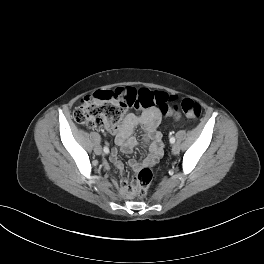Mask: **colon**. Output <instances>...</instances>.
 <instances>
[{
  "label": "colon",
  "instance_id": "colon-1",
  "mask_svg": "<svg viewBox=\"0 0 264 264\" xmlns=\"http://www.w3.org/2000/svg\"><path fill=\"white\" fill-rule=\"evenodd\" d=\"M172 100L173 97L163 91L120 87L86 96L74 110L73 116L77 123L88 128L115 127L130 108H155L166 115L170 111L169 103ZM178 109L192 120L198 119L201 114L200 104L190 98H185L180 104L173 106V110ZM152 179L151 169L145 167L139 170L132 181L131 195L145 197Z\"/></svg>",
  "mask_w": 264,
  "mask_h": 264
}]
</instances>
